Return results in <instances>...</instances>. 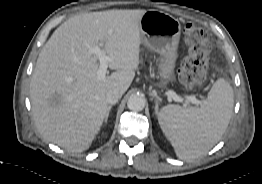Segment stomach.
I'll use <instances>...</instances> for the list:
<instances>
[{
	"mask_svg": "<svg viewBox=\"0 0 262 184\" xmlns=\"http://www.w3.org/2000/svg\"><path fill=\"white\" fill-rule=\"evenodd\" d=\"M140 33L141 42L162 56L158 64L162 83L173 80L181 33L179 20L162 11L148 10L140 19Z\"/></svg>",
	"mask_w": 262,
	"mask_h": 184,
	"instance_id": "0dacf381",
	"label": "stomach"
}]
</instances>
